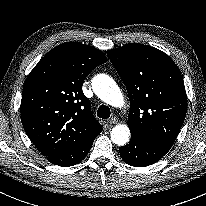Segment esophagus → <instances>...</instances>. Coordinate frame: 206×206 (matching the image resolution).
<instances>
[{"label": "esophagus", "mask_w": 206, "mask_h": 206, "mask_svg": "<svg viewBox=\"0 0 206 206\" xmlns=\"http://www.w3.org/2000/svg\"><path fill=\"white\" fill-rule=\"evenodd\" d=\"M107 122H108L109 124H117V123H118V119L115 118V117H111V118H109V119L107 120Z\"/></svg>", "instance_id": "1"}]
</instances>
